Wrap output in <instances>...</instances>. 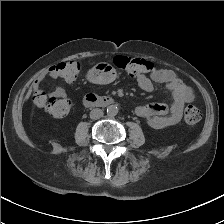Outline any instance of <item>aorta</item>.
<instances>
[{
	"label": "aorta",
	"mask_w": 224,
	"mask_h": 224,
	"mask_svg": "<svg viewBox=\"0 0 224 224\" xmlns=\"http://www.w3.org/2000/svg\"><path fill=\"white\" fill-rule=\"evenodd\" d=\"M118 113V107L117 105H110L107 107V114L109 116H115Z\"/></svg>",
	"instance_id": "762f6f07"
}]
</instances>
